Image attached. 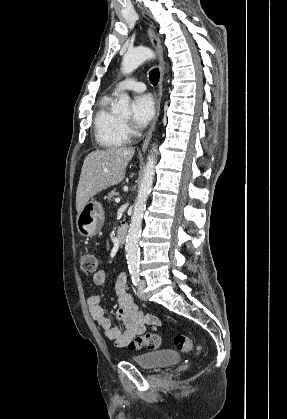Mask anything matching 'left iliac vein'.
Masks as SVG:
<instances>
[{
    "instance_id": "left-iliac-vein-1",
    "label": "left iliac vein",
    "mask_w": 287,
    "mask_h": 419,
    "mask_svg": "<svg viewBox=\"0 0 287 419\" xmlns=\"http://www.w3.org/2000/svg\"><path fill=\"white\" fill-rule=\"evenodd\" d=\"M146 286L145 280H140L138 284V295L142 300H147V295L144 291Z\"/></svg>"
}]
</instances>
